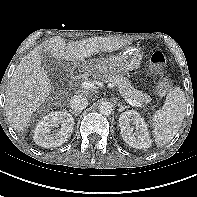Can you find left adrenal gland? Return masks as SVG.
Returning a JSON list of instances; mask_svg holds the SVG:
<instances>
[{
	"label": "left adrenal gland",
	"instance_id": "left-adrenal-gland-1",
	"mask_svg": "<svg viewBox=\"0 0 197 197\" xmlns=\"http://www.w3.org/2000/svg\"><path fill=\"white\" fill-rule=\"evenodd\" d=\"M118 106H119V112H122L123 110H125L126 108H128L127 106L125 105H122L121 103H118Z\"/></svg>",
	"mask_w": 197,
	"mask_h": 197
}]
</instances>
